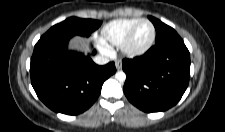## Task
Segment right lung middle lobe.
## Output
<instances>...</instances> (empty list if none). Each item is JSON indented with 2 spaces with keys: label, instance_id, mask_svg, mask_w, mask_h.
I'll list each match as a JSON object with an SVG mask.
<instances>
[{
  "label": "right lung middle lobe",
  "instance_id": "right-lung-middle-lobe-1",
  "mask_svg": "<svg viewBox=\"0 0 225 132\" xmlns=\"http://www.w3.org/2000/svg\"><path fill=\"white\" fill-rule=\"evenodd\" d=\"M101 25V21L93 19H81L70 17L65 21L54 25L44 35L86 36L95 31Z\"/></svg>",
  "mask_w": 225,
  "mask_h": 132
}]
</instances>
